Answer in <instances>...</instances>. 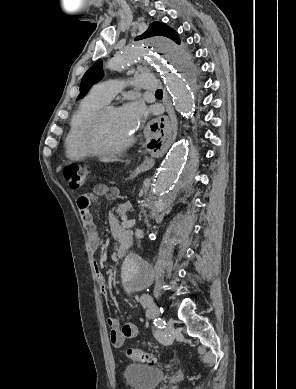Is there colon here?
Instances as JSON below:
<instances>
[{
	"label": "colon",
	"instance_id": "1",
	"mask_svg": "<svg viewBox=\"0 0 296 389\" xmlns=\"http://www.w3.org/2000/svg\"><path fill=\"white\" fill-rule=\"evenodd\" d=\"M64 178L72 189L81 188L88 176V168L86 166L72 164L67 166L64 171ZM126 355L133 360L153 365L157 362V357L153 353L145 352L137 348H129L126 350Z\"/></svg>",
	"mask_w": 296,
	"mask_h": 389
}]
</instances>
